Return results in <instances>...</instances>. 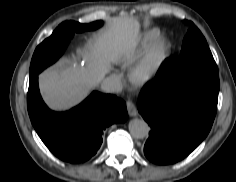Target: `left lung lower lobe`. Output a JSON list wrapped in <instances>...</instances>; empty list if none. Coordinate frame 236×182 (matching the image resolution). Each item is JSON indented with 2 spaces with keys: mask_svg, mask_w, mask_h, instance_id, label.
<instances>
[{
  "mask_svg": "<svg viewBox=\"0 0 236 182\" xmlns=\"http://www.w3.org/2000/svg\"><path fill=\"white\" fill-rule=\"evenodd\" d=\"M219 90L199 86L164 88L162 79L144 88L138 111L151 127L144 154L160 165L188 156L208 135Z\"/></svg>",
  "mask_w": 236,
  "mask_h": 182,
  "instance_id": "obj_1",
  "label": "left lung lower lobe"
}]
</instances>
